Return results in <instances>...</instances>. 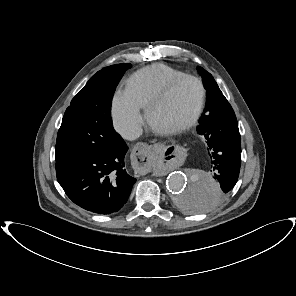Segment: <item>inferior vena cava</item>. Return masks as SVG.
I'll return each instance as SVG.
<instances>
[{
    "label": "inferior vena cava",
    "instance_id": "602c4592",
    "mask_svg": "<svg viewBox=\"0 0 296 296\" xmlns=\"http://www.w3.org/2000/svg\"><path fill=\"white\" fill-rule=\"evenodd\" d=\"M121 136L127 140H134L142 134V127L138 124H132L120 131Z\"/></svg>",
    "mask_w": 296,
    "mask_h": 296
}]
</instances>
